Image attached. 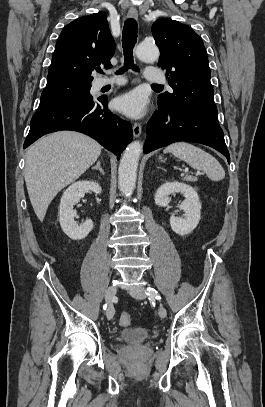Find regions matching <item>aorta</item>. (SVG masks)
<instances>
[{
    "label": "aorta",
    "instance_id": "aorta-1",
    "mask_svg": "<svg viewBox=\"0 0 265 407\" xmlns=\"http://www.w3.org/2000/svg\"><path fill=\"white\" fill-rule=\"evenodd\" d=\"M159 55V49L155 44L142 42L136 47V56L143 62H154L158 60ZM142 149V143L134 141L128 145L120 160L118 184L120 191L126 196L134 191Z\"/></svg>",
    "mask_w": 265,
    "mask_h": 407
}]
</instances>
